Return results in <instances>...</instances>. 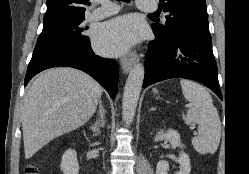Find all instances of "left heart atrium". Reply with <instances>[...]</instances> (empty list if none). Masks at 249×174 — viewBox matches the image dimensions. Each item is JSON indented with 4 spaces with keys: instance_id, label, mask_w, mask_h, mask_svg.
Wrapping results in <instances>:
<instances>
[{
    "instance_id": "1",
    "label": "left heart atrium",
    "mask_w": 249,
    "mask_h": 174,
    "mask_svg": "<svg viewBox=\"0 0 249 174\" xmlns=\"http://www.w3.org/2000/svg\"><path fill=\"white\" fill-rule=\"evenodd\" d=\"M143 28L141 21L134 16L110 20L97 30L94 46L103 55H121L141 40Z\"/></svg>"
}]
</instances>
